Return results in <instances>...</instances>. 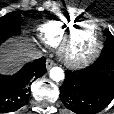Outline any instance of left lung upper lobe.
<instances>
[{
  "mask_svg": "<svg viewBox=\"0 0 114 114\" xmlns=\"http://www.w3.org/2000/svg\"><path fill=\"white\" fill-rule=\"evenodd\" d=\"M106 42L101 54L114 55V36L106 30Z\"/></svg>",
  "mask_w": 114,
  "mask_h": 114,
  "instance_id": "5c2ea615",
  "label": "left lung upper lobe"
}]
</instances>
